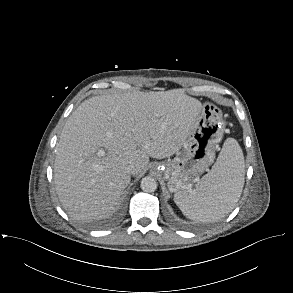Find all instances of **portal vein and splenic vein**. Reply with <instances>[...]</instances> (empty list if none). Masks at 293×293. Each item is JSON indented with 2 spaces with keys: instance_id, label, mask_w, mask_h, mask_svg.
<instances>
[{
  "instance_id": "1",
  "label": "portal vein and splenic vein",
  "mask_w": 293,
  "mask_h": 293,
  "mask_svg": "<svg viewBox=\"0 0 293 293\" xmlns=\"http://www.w3.org/2000/svg\"><path fill=\"white\" fill-rule=\"evenodd\" d=\"M99 154L102 155V154H101V150L99 151Z\"/></svg>"
}]
</instances>
